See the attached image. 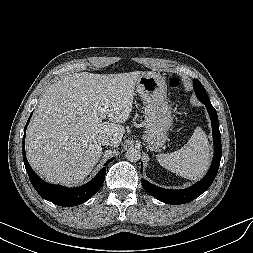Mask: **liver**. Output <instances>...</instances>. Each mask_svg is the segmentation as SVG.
I'll use <instances>...</instances> for the list:
<instances>
[{"mask_svg":"<svg viewBox=\"0 0 253 253\" xmlns=\"http://www.w3.org/2000/svg\"><path fill=\"white\" fill-rule=\"evenodd\" d=\"M151 73V72H148ZM146 72L66 75L42 94L26 133L31 167L46 181L82 182L102 154L104 138L118 147L133 108L134 88ZM108 118L111 122H103Z\"/></svg>","mask_w":253,"mask_h":253,"instance_id":"1","label":"liver"}]
</instances>
